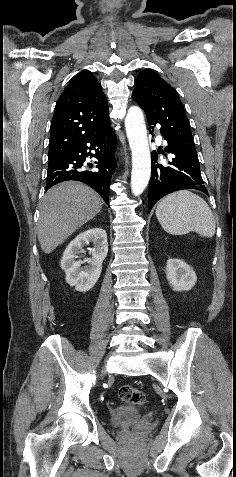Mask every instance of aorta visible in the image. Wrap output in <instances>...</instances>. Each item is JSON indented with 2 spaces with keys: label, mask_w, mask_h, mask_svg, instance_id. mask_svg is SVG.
I'll return each instance as SVG.
<instances>
[{
  "label": "aorta",
  "mask_w": 236,
  "mask_h": 477,
  "mask_svg": "<svg viewBox=\"0 0 236 477\" xmlns=\"http://www.w3.org/2000/svg\"><path fill=\"white\" fill-rule=\"evenodd\" d=\"M126 134L132 152L131 190L135 196L143 193L151 176V155L142 110L129 108L125 117Z\"/></svg>",
  "instance_id": "obj_1"
}]
</instances>
